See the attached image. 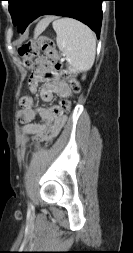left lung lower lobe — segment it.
I'll use <instances>...</instances> for the list:
<instances>
[{
  "instance_id": "left-lung-lower-lobe-1",
  "label": "left lung lower lobe",
  "mask_w": 133,
  "mask_h": 253,
  "mask_svg": "<svg viewBox=\"0 0 133 253\" xmlns=\"http://www.w3.org/2000/svg\"><path fill=\"white\" fill-rule=\"evenodd\" d=\"M105 0H28L18 22V32L42 15H58L77 19L88 25L99 38Z\"/></svg>"
}]
</instances>
